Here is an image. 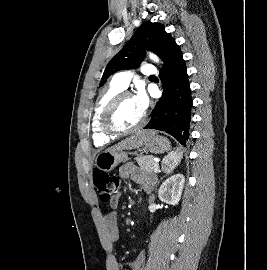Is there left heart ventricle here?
Masks as SVG:
<instances>
[{"label":"left heart ventricle","mask_w":267,"mask_h":270,"mask_svg":"<svg viewBox=\"0 0 267 270\" xmlns=\"http://www.w3.org/2000/svg\"><path fill=\"white\" fill-rule=\"evenodd\" d=\"M143 112L137 106L134 98L123 100L115 111L113 121L117 128L128 129L139 123Z\"/></svg>","instance_id":"1"}]
</instances>
